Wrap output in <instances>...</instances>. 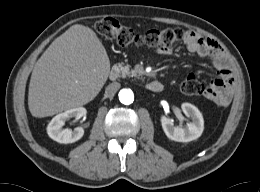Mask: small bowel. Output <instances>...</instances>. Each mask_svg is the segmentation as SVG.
<instances>
[{
  "label": "small bowel",
  "mask_w": 260,
  "mask_h": 192,
  "mask_svg": "<svg viewBox=\"0 0 260 192\" xmlns=\"http://www.w3.org/2000/svg\"><path fill=\"white\" fill-rule=\"evenodd\" d=\"M183 42L189 52L210 57L216 69V78L205 86L201 95L218 105H228L236 88V78L221 47L214 40L194 31H186ZM157 52L169 55L172 48H163Z\"/></svg>",
  "instance_id": "small-bowel-1"
}]
</instances>
